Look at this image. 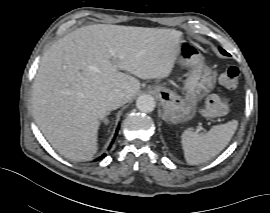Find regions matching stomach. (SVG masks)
Instances as JSON below:
<instances>
[{
    "instance_id": "0dacf381",
    "label": "stomach",
    "mask_w": 270,
    "mask_h": 213,
    "mask_svg": "<svg viewBox=\"0 0 270 213\" xmlns=\"http://www.w3.org/2000/svg\"><path fill=\"white\" fill-rule=\"evenodd\" d=\"M177 61L192 68L184 85L185 96L164 85L153 86L162 106L163 119L175 124L192 120L198 101L207 96L216 83L215 72L203 63L198 49L190 42L180 41Z\"/></svg>"
}]
</instances>
